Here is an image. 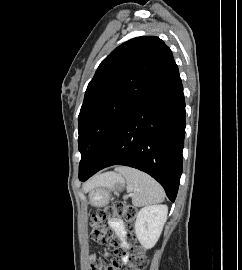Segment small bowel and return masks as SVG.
Returning <instances> with one entry per match:
<instances>
[{
	"label": "small bowel",
	"instance_id": "1",
	"mask_svg": "<svg viewBox=\"0 0 242 270\" xmlns=\"http://www.w3.org/2000/svg\"><path fill=\"white\" fill-rule=\"evenodd\" d=\"M110 226L114 230L118 238L122 241L123 246H126L125 239H126L127 231H126L124 223L119 219H112L110 221ZM105 257H109L108 252L105 253Z\"/></svg>",
	"mask_w": 242,
	"mask_h": 270
}]
</instances>
